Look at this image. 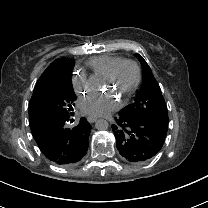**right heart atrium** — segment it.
<instances>
[{"label":"right heart atrium","instance_id":"obj_1","mask_svg":"<svg viewBox=\"0 0 208 208\" xmlns=\"http://www.w3.org/2000/svg\"><path fill=\"white\" fill-rule=\"evenodd\" d=\"M71 87L73 92L79 97L89 96L94 90L92 79L76 70L73 71L71 76Z\"/></svg>","mask_w":208,"mask_h":208}]
</instances>
